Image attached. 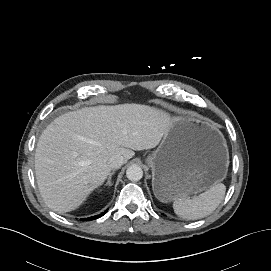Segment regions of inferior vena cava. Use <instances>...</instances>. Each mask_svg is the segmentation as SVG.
<instances>
[{"mask_svg": "<svg viewBox=\"0 0 271 271\" xmlns=\"http://www.w3.org/2000/svg\"><path fill=\"white\" fill-rule=\"evenodd\" d=\"M124 163V158L120 155H114L108 160V165L112 169L120 168Z\"/></svg>", "mask_w": 271, "mask_h": 271, "instance_id": "inferior-vena-cava-1", "label": "inferior vena cava"}]
</instances>
